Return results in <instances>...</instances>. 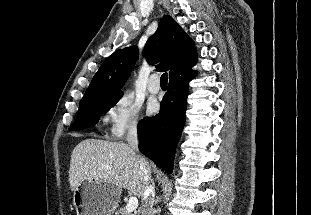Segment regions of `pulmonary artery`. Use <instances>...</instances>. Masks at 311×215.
Listing matches in <instances>:
<instances>
[{
    "instance_id": "e3ab8cb5",
    "label": "pulmonary artery",
    "mask_w": 311,
    "mask_h": 215,
    "mask_svg": "<svg viewBox=\"0 0 311 215\" xmlns=\"http://www.w3.org/2000/svg\"><path fill=\"white\" fill-rule=\"evenodd\" d=\"M148 91L151 94H157L160 91V86L158 82V76L157 75H152L149 79L148 82Z\"/></svg>"
}]
</instances>
